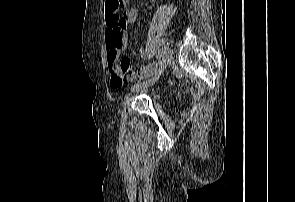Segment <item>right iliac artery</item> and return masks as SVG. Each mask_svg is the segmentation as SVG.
I'll list each match as a JSON object with an SVG mask.
<instances>
[{"mask_svg":"<svg viewBox=\"0 0 295 202\" xmlns=\"http://www.w3.org/2000/svg\"><path fill=\"white\" fill-rule=\"evenodd\" d=\"M157 58L159 60V63H161L162 62V55H161L160 51H157Z\"/></svg>","mask_w":295,"mask_h":202,"instance_id":"right-iliac-artery-1","label":"right iliac artery"}]
</instances>
